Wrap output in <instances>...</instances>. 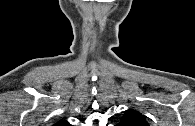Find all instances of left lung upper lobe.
Segmentation results:
<instances>
[{"label":"left lung upper lobe","instance_id":"obj_1","mask_svg":"<svg viewBox=\"0 0 195 126\" xmlns=\"http://www.w3.org/2000/svg\"><path fill=\"white\" fill-rule=\"evenodd\" d=\"M119 124L121 126H149L145 116L133 109L124 112Z\"/></svg>","mask_w":195,"mask_h":126}]
</instances>
